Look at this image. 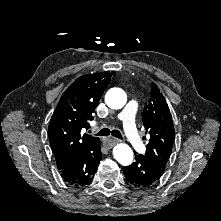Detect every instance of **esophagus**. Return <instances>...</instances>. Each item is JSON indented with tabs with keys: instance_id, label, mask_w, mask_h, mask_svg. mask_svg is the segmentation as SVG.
<instances>
[{
	"instance_id": "1",
	"label": "esophagus",
	"mask_w": 221,
	"mask_h": 221,
	"mask_svg": "<svg viewBox=\"0 0 221 221\" xmlns=\"http://www.w3.org/2000/svg\"><path fill=\"white\" fill-rule=\"evenodd\" d=\"M119 140L112 138V137H107L106 141L103 142V145L105 147L111 148L115 143H118Z\"/></svg>"
}]
</instances>
